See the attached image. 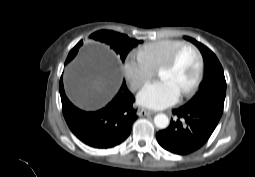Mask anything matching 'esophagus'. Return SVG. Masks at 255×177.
I'll use <instances>...</instances> for the list:
<instances>
[{"label": "esophagus", "mask_w": 255, "mask_h": 177, "mask_svg": "<svg viewBox=\"0 0 255 177\" xmlns=\"http://www.w3.org/2000/svg\"><path fill=\"white\" fill-rule=\"evenodd\" d=\"M154 113H155L154 111H151V110L145 109V108H138V110H137V115L140 117L152 115Z\"/></svg>", "instance_id": "obj_1"}]
</instances>
